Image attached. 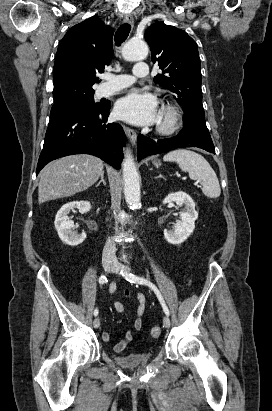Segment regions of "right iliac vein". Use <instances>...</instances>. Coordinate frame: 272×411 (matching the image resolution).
I'll list each match as a JSON object with an SVG mask.
<instances>
[{
    "mask_svg": "<svg viewBox=\"0 0 272 411\" xmlns=\"http://www.w3.org/2000/svg\"><path fill=\"white\" fill-rule=\"evenodd\" d=\"M103 267H104V269H105L106 272L110 273V272H112L113 263L110 262V261H104V262H103ZM93 326H94V328H96V329L99 328V326H100V319H99V317H96V318L94 319V321H93Z\"/></svg>",
    "mask_w": 272,
    "mask_h": 411,
    "instance_id": "right-iliac-vein-1",
    "label": "right iliac vein"
}]
</instances>
